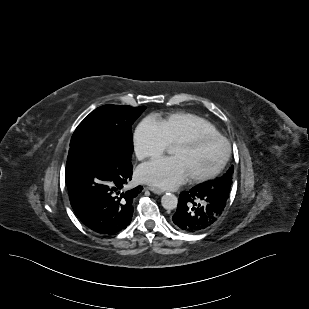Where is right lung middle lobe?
Here are the masks:
<instances>
[{"mask_svg":"<svg viewBox=\"0 0 309 309\" xmlns=\"http://www.w3.org/2000/svg\"><path fill=\"white\" fill-rule=\"evenodd\" d=\"M145 106L104 105L91 112L74 131L70 147L85 142H100L130 159L133 152L131 126Z\"/></svg>","mask_w":309,"mask_h":309,"instance_id":"dd1d6c3e","label":"right lung middle lobe"}]
</instances>
